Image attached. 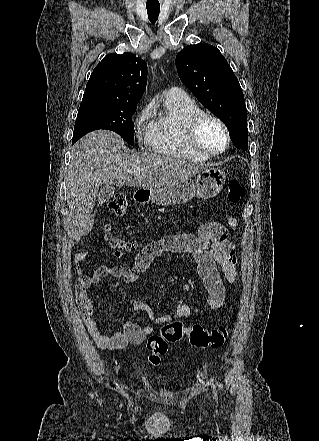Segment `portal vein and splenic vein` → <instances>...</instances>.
Instances as JSON below:
<instances>
[{"mask_svg": "<svg viewBox=\"0 0 319 441\" xmlns=\"http://www.w3.org/2000/svg\"><path fill=\"white\" fill-rule=\"evenodd\" d=\"M130 173L134 174V175L140 174V169H135V170L131 171Z\"/></svg>", "mask_w": 319, "mask_h": 441, "instance_id": "obj_1", "label": "portal vein and splenic vein"}]
</instances>
